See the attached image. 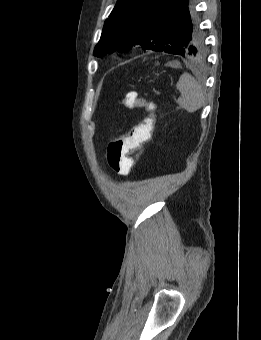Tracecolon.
Listing matches in <instances>:
<instances>
[{
    "mask_svg": "<svg viewBox=\"0 0 261 340\" xmlns=\"http://www.w3.org/2000/svg\"><path fill=\"white\" fill-rule=\"evenodd\" d=\"M126 108H143L148 116L126 134L112 139L107 146V162L114 171L127 174L134 165L130 155L146 142L153 131L156 104L139 97L136 92H129L122 101Z\"/></svg>",
    "mask_w": 261,
    "mask_h": 340,
    "instance_id": "colon-1",
    "label": "colon"
}]
</instances>
